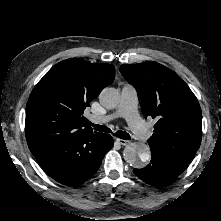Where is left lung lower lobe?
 I'll list each match as a JSON object with an SVG mask.
<instances>
[{"instance_id": "obj_1", "label": "left lung lower lobe", "mask_w": 221, "mask_h": 221, "mask_svg": "<svg viewBox=\"0 0 221 221\" xmlns=\"http://www.w3.org/2000/svg\"><path fill=\"white\" fill-rule=\"evenodd\" d=\"M151 162L142 169L133 172L147 184L162 186L176 179L185 169L165 156L151 151Z\"/></svg>"}]
</instances>
